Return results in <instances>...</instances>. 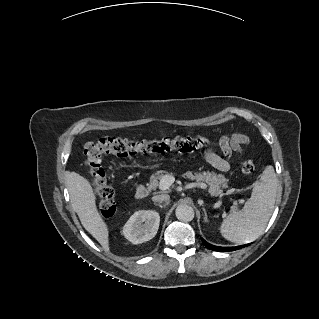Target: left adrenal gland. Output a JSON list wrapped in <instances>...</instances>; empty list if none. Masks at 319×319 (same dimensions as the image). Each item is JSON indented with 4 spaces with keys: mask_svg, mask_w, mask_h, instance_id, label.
I'll use <instances>...</instances> for the list:
<instances>
[{
    "mask_svg": "<svg viewBox=\"0 0 319 319\" xmlns=\"http://www.w3.org/2000/svg\"><path fill=\"white\" fill-rule=\"evenodd\" d=\"M203 211H204V220H205V222H208V217H207V213H206L205 208H203Z\"/></svg>",
    "mask_w": 319,
    "mask_h": 319,
    "instance_id": "a2214340",
    "label": "left adrenal gland"
}]
</instances>
